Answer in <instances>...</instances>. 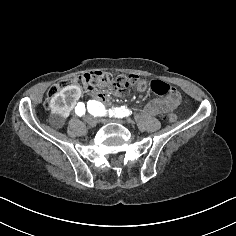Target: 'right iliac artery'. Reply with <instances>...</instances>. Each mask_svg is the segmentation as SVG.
<instances>
[{"label":"right iliac artery","instance_id":"right-iliac-artery-1","mask_svg":"<svg viewBox=\"0 0 236 236\" xmlns=\"http://www.w3.org/2000/svg\"><path fill=\"white\" fill-rule=\"evenodd\" d=\"M75 113L78 116H82L85 114V104L83 102H79L75 107Z\"/></svg>","mask_w":236,"mask_h":236}]
</instances>
